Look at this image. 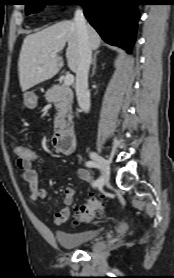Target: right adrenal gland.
<instances>
[{"label": "right adrenal gland", "instance_id": "obj_1", "mask_svg": "<svg viewBox=\"0 0 174 278\" xmlns=\"http://www.w3.org/2000/svg\"><path fill=\"white\" fill-rule=\"evenodd\" d=\"M98 51L94 53V57H93V68H92V76L95 74V69H96V60H97V55H98Z\"/></svg>", "mask_w": 174, "mask_h": 278}]
</instances>
